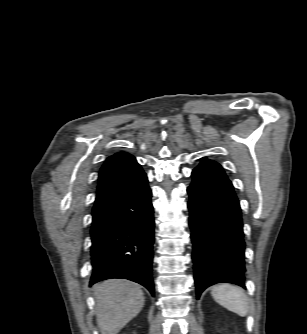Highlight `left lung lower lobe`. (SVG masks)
<instances>
[{
  "label": "left lung lower lobe",
  "instance_id": "left-lung-lower-lobe-1",
  "mask_svg": "<svg viewBox=\"0 0 307 334\" xmlns=\"http://www.w3.org/2000/svg\"><path fill=\"white\" fill-rule=\"evenodd\" d=\"M192 178L187 192L197 298L216 283L245 288L243 223L233 185L223 168L208 159Z\"/></svg>",
  "mask_w": 307,
  "mask_h": 334
}]
</instances>
